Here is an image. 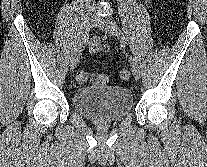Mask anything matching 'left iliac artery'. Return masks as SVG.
Here are the masks:
<instances>
[{"label":"left iliac artery","instance_id":"1","mask_svg":"<svg viewBox=\"0 0 207 167\" xmlns=\"http://www.w3.org/2000/svg\"><path fill=\"white\" fill-rule=\"evenodd\" d=\"M111 22H112V24H113V26H114V29H115V31H116L118 37L120 38V41H121L123 44H126V39H125V37H124L122 31H121L120 28L118 27L117 23H116L114 20H112Z\"/></svg>","mask_w":207,"mask_h":167}]
</instances>
